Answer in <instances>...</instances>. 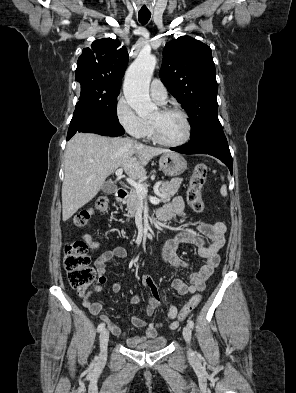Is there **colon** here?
<instances>
[{"label": "colon", "mask_w": 296, "mask_h": 393, "mask_svg": "<svg viewBox=\"0 0 296 393\" xmlns=\"http://www.w3.org/2000/svg\"><path fill=\"white\" fill-rule=\"evenodd\" d=\"M208 167L204 163H199L194 167L190 178L187 191V200L193 211L201 213L205 209V204L201 196V190L204 186ZM109 199L106 196H100L96 199L93 206L89 209L82 210L74 216V223L79 227L88 224L94 212L104 213L107 211ZM89 248H95V244L87 236L84 240H76L68 244L65 248L64 265L68 273L69 284L73 289L83 294L89 285L95 280V271L90 266V259L87 255ZM201 294H195L181 308L178 314V320L182 321L189 316L201 300Z\"/></svg>", "instance_id": "obj_1"}]
</instances>
